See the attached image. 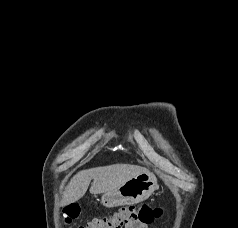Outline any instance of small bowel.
I'll use <instances>...</instances> for the list:
<instances>
[{
	"instance_id": "1",
	"label": "small bowel",
	"mask_w": 238,
	"mask_h": 228,
	"mask_svg": "<svg viewBox=\"0 0 238 228\" xmlns=\"http://www.w3.org/2000/svg\"><path fill=\"white\" fill-rule=\"evenodd\" d=\"M134 228H150L149 225L138 224Z\"/></svg>"
}]
</instances>
